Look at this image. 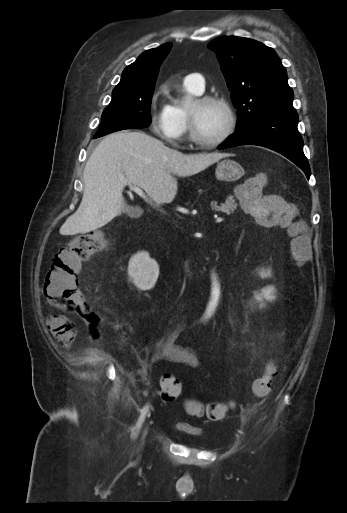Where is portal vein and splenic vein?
Returning a JSON list of instances; mask_svg holds the SVG:
<instances>
[{
    "label": "portal vein and splenic vein",
    "instance_id": "1",
    "mask_svg": "<svg viewBox=\"0 0 347 513\" xmlns=\"http://www.w3.org/2000/svg\"><path fill=\"white\" fill-rule=\"evenodd\" d=\"M128 186L130 187L131 190H133L134 192H136L139 196H141L142 198H144L146 201H147V197L145 196L143 190L137 186H134L132 184H128ZM223 218L222 217H218L216 219V223H221L223 222Z\"/></svg>",
    "mask_w": 347,
    "mask_h": 513
}]
</instances>
